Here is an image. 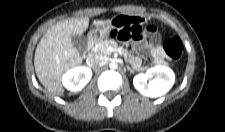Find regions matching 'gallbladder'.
Masks as SVG:
<instances>
[{"instance_id": "bac80fb5", "label": "gallbladder", "mask_w": 225, "mask_h": 132, "mask_svg": "<svg viewBox=\"0 0 225 132\" xmlns=\"http://www.w3.org/2000/svg\"><path fill=\"white\" fill-rule=\"evenodd\" d=\"M71 42L73 46L81 53L87 49V39L83 35H72Z\"/></svg>"}]
</instances>
